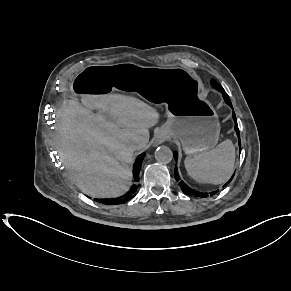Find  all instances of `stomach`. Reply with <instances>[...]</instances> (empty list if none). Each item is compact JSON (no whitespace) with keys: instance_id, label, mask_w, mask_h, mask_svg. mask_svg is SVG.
<instances>
[{"instance_id":"0dacf381","label":"stomach","mask_w":291,"mask_h":291,"mask_svg":"<svg viewBox=\"0 0 291 291\" xmlns=\"http://www.w3.org/2000/svg\"><path fill=\"white\" fill-rule=\"evenodd\" d=\"M73 88L81 96L135 92L153 103H163L168 119L161 136L178 139L188 155L205 152L218 143V115L205 99L200 78L183 67L97 65L79 75Z\"/></svg>"}]
</instances>
